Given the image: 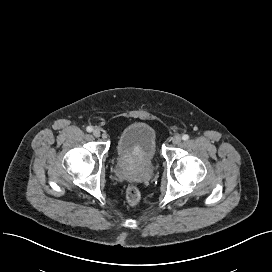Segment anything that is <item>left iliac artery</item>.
<instances>
[{
    "instance_id": "left-iliac-artery-1",
    "label": "left iliac artery",
    "mask_w": 272,
    "mask_h": 272,
    "mask_svg": "<svg viewBox=\"0 0 272 272\" xmlns=\"http://www.w3.org/2000/svg\"><path fill=\"white\" fill-rule=\"evenodd\" d=\"M182 139H183L184 141L188 140V139H189V135L184 134V135L182 136Z\"/></svg>"
}]
</instances>
